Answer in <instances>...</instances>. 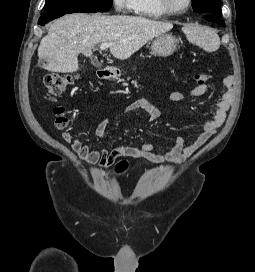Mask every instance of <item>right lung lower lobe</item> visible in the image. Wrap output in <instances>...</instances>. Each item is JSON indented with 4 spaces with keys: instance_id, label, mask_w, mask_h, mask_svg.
I'll use <instances>...</instances> for the list:
<instances>
[{
    "instance_id": "1",
    "label": "right lung lower lobe",
    "mask_w": 255,
    "mask_h": 272,
    "mask_svg": "<svg viewBox=\"0 0 255 272\" xmlns=\"http://www.w3.org/2000/svg\"><path fill=\"white\" fill-rule=\"evenodd\" d=\"M65 14H49V15H42L38 21V24L40 25H44L45 23L53 20V19H56L58 17H61Z\"/></svg>"
}]
</instances>
